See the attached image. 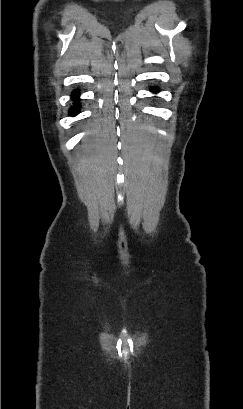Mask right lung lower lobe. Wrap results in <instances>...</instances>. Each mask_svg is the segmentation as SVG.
I'll return each mask as SVG.
<instances>
[{"label": "right lung lower lobe", "instance_id": "1", "mask_svg": "<svg viewBox=\"0 0 243 409\" xmlns=\"http://www.w3.org/2000/svg\"><path fill=\"white\" fill-rule=\"evenodd\" d=\"M77 95H78V93H73L74 100H78ZM78 110H79V105H75L74 107L71 108L70 114L71 115H76L78 113Z\"/></svg>", "mask_w": 243, "mask_h": 409}]
</instances>
